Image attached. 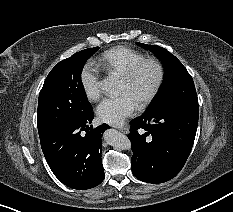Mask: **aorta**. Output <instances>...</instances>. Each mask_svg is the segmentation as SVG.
<instances>
[{"mask_svg": "<svg viewBox=\"0 0 233 212\" xmlns=\"http://www.w3.org/2000/svg\"><path fill=\"white\" fill-rule=\"evenodd\" d=\"M99 88L107 93L116 94L119 89L118 80L109 76L99 82ZM104 140L119 150H130L131 142L127 136L115 129H109L104 133Z\"/></svg>", "mask_w": 233, "mask_h": 212, "instance_id": "aorta-1", "label": "aorta"}]
</instances>
